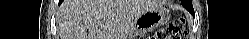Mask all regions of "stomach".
Instances as JSON below:
<instances>
[{
	"label": "stomach",
	"mask_w": 249,
	"mask_h": 39,
	"mask_svg": "<svg viewBox=\"0 0 249 39\" xmlns=\"http://www.w3.org/2000/svg\"><path fill=\"white\" fill-rule=\"evenodd\" d=\"M169 19V10L161 6L147 10L135 19L130 36L136 37L150 32L167 23Z\"/></svg>",
	"instance_id": "stomach-1"
}]
</instances>
